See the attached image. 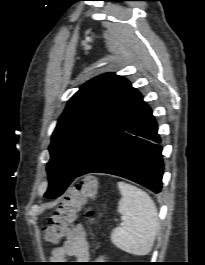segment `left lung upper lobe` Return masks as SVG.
Segmentation results:
<instances>
[{
	"instance_id": "1",
	"label": "left lung upper lobe",
	"mask_w": 205,
	"mask_h": 265,
	"mask_svg": "<svg viewBox=\"0 0 205 265\" xmlns=\"http://www.w3.org/2000/svg\"><path fill=\"white\" fill-rule=\"evenodd\" d=\"M142 101L130 82L99 75L69 100L52 134L45 197H59L89 159L126 123Z\"/></svg>"
}]
</instances>
